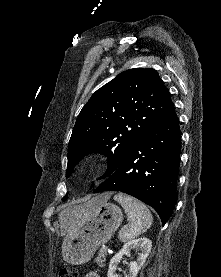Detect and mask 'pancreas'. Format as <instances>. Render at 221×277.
<instances>
[{"instance_id":"obj_1","label":"pancreas","mask_w":221,"mask_h":277,"mask_svg":"<svg viewBox=\"0 0 221 277\" xmlns=\"http://www.w3.org/2000/svg\"><path fill=\"white\" fill-rule=\"evenodd\" d=\"M106 255H107V251L102 250L101 248L97 258L95 259V262L98 264L99 267L105 266Z\"/></svg>"}]
</instances>
